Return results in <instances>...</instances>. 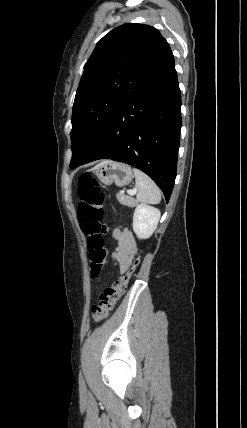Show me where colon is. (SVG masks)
I'll list each match as a JSON object with an SVG mask.
<instances>
[{
    "label": "colon",
    "instance_id": "colon-1",
    "mask_svg": "<svg viewBox=\"0 0 247 428\" xmlns=\"http://www.w3.org/2000/svg\"><path fill=\"white\" fill-rule=\"evenodd\" d=\"M78 217L82 231L87 236V247L90 259V277L97 279L106 263L103 216L104 193L98 180L90 173L82 174L78 179ZM140 258L136 257L128 270L99 296L97 304L92 306V316L96 322L106 319L119 299L127 290L128 284L139 266Z\"/></svg>",
    "mask_w": 247,
    "mask_h": 428
}]
</instances>
